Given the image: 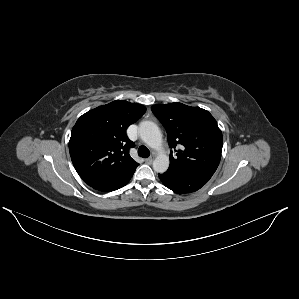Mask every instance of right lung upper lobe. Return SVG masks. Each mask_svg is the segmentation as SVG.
Segmentation results:
<instances>
[{"mask_svg":"<svg viewBox=\"0 0 299 299\" xmlns=\"http://www.w3.org/2000/svg\"><path fill=\"white\" fill-rule=\"evenodd\" d=\"M140 104L116 100L83 114L69 141L73 165L90 186L124 178L137 166L129 155L134 146L126 136L129 125L145 113Z\"/></svg>","mask_w":299,"mask_h":299,"instance_id":"right-lung-upper-lobe-1","label":"right lung upper lobe"}]
</instances>
